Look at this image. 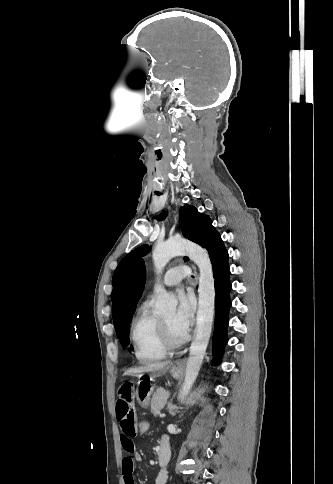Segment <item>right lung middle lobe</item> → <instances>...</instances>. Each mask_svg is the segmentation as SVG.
I'll list each match as a JSON object with an SVG mask.
<instances>
[{
	"instance_id": "obj_1",
	"label": "right lung middle lobe",
	"mask_w": 333,
	"mask_h": 484,
	"mask_svg": "<svg viewBox=\"0 0 333 484\" xmlns=\"http://www.w3.org/2000/svg\"><path fill=\"white\" fill-rule=\"evenodd\" d=\"M131 317L125 320V322L123 323L122 327L120 328L117 334L123 348H126L129 345L128 334H129V323H130Z\"/></svg>"
}]
</instances>
